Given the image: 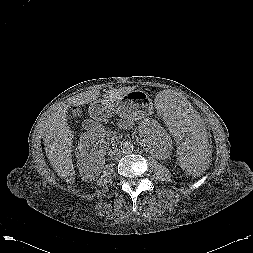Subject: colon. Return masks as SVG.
<instances>
[{"label": "colon", "instance_id": "5ec220e1", "mask_svg": "<svg viewBox=\"0 0 253 253\" xmlns=\"http://www.w3.org/2000/svg\"><path fill=\"white\" fill-rule=\"evenodd\" d=\"M73 113H76V110H73Z\"/></svg>", "mask_w": 253, "mask_h": 253}]
</instances>
